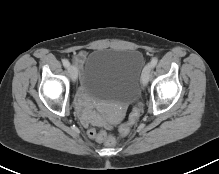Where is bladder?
Returning a JSON list of instances; mask_svg holds the SVG:
<instances>
[{
  "label": "bladder",
  "mask_w": 219,
  "mask_h": 174,
  "mask_svg": "<svg viewBox=\"0 0 219 174\" xmlns=\"http://www.w3.org/2000/svg\"><path fill=\"white\" fill-rule=\"evenodd\" d=\"M144 67L137 49L102 48L86 58L81 90L96 100L131 103L139 94V77Z\"/></svg>",
  "instance_id": "obj_1"
}]
</instances>
